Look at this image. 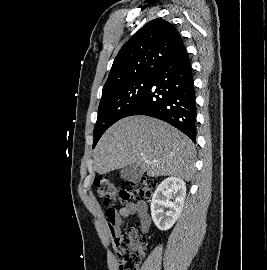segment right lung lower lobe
I'll return each mask as SVG.
<instances>
[{
    "label": "right lung lower lobe",
    "instance_id": "98d812e1",
    "mask_svg": "<svg viewBox=\"0 0 267 270\" xmlns=\"http://www.w3.org/2000/svg\"><path fill=\"white\" fill-rule=\"evenodd\" d=\"M195 89L190 60L181 46L152 76L142 99L126 114L163 120L196 139Z\"/></svg>",
    "mask_w": 267,
    "mask_h": 270
}]
</instances>
